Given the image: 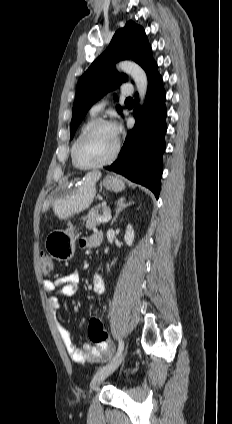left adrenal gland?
Returning <instances> with one entry per match:
<instances>
[{
    "label": "left adrenal gland",
    "instance_id": "left-adrenal-gland-1",
    "mask_svg": "<svg viewBox=\"0 0 232 424\" xmlns=\"http://www.w3.org/2000/svg\"><path fill=\"white\" fill-rule=\"evenodd\" d=\"M116 204H117V210H116V214H115L114 218L111 221V225H113V223L116 221L120 212H122L127 207L134 205V201H129V202L126 203V199L124 197H122L117 201Z\"/></svg>",
    "mask_w": 232,
    "mask_h": 424
}]
</instances>
